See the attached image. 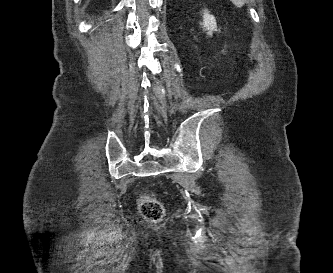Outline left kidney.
<instances>
[{
  "label": "left kidney",
  "instance_id": "1",
  "mask_svg": "<svg viewBox=\"0 0 333 273\" xmlns=\"http://www.w3.org/2000/svg\"><path fill=\"white\" fill-rule=\"evenodd\" d=\"M203 28L208 31L207 34L212 36L214 31L217 30V23L214 16L210 15L208 11H204L203 13Z\"/></svg>",
  "mask_w": 333,
  "mask_h": 273
}]
</instances>
